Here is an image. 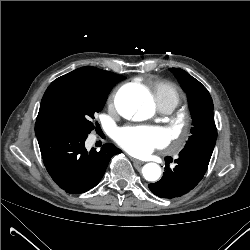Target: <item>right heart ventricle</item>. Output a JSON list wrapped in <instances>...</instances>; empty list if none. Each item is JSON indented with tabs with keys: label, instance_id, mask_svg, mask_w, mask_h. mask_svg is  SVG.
<instances>
[{
	"label": "right heart ventricle",
	"instance_id": "right-heart-ventricle-1",
	"mask_svg": "<svg viewBox=\"0 0 250 250\" xmlns=\"http://www.w3.org/2000/svg\"><path fill=\"white\" fill-rule=\"evenodd\" d=\"M152 94L158 109L162 107L174 109L180 102L178 88L168 81L156 82L152 87Z\"/></svg>",
	"mask_w": 250,
	"mask_h": 250
}]
</instances>
